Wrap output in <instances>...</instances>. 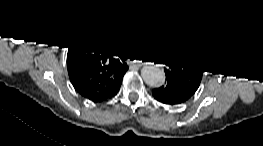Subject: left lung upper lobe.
I'll return each mask as SVG.
<instances>
[{
  "instance_id": "left-lung-upper-lobe-1",
  "label": "left lung upper lobe",
  "mask_w": 263,
  "mask_h": 146,
  "mask_svg": "<svg viewBox=\"0 0 263 146\" xmlns=\"http://www.w3.org/2000/svg\"><path fill=\"white\" fill-rule=\"evenodd\" d=\"M151 59L166 65V79L182 87L193 95L198 89L204 65L202 59L177 33L168 32L158 35L148 47Z\"/></svg>"
}]
</instances>
